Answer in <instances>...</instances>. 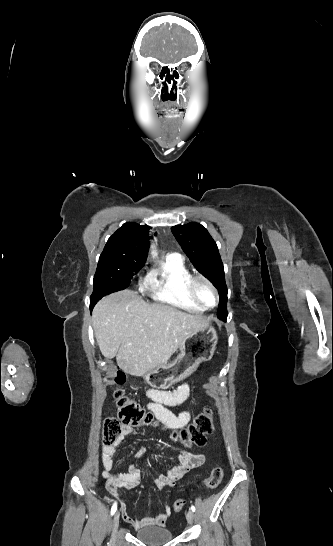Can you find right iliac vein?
<instances>
[{
  "label": "right iliac vein",
  "instance_id": "right-iliac-vein-1",
  "mask_svg": "<svg viewBox=\"0 0 333 546\" xmlns=\"http://www.w3.org/2000/svg\"><path fill=\"white\" fill-rule=\"evenodd\" d=\"M119 512H116L112 520V541H114L119 525Z\"/></svg>",
  "mask_w": 333,
  "mask_h": 546
}]
</instances>
